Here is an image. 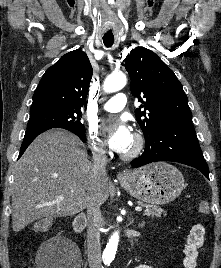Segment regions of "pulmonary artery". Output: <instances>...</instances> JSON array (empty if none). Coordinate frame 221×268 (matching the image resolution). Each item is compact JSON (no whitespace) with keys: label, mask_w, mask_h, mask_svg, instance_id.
<instances>
[{"label":"pulmonary artery","mask_w":221,"mask_h":268,"mask_svg":"<svg viewBox=\"0 0 221 268\" xmlns=\"http://www.w3.org/2000/svg\"><path fill=\"white\" fill-rule=\"evenodd\" d=\"M127 103V97L123 93H118L110 98L104 105L103 109L107 112L116 113L121 111Z\"/></svg>","instance_id":"e3ab8cb5"}]
</instances>
